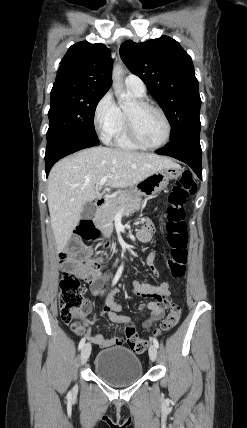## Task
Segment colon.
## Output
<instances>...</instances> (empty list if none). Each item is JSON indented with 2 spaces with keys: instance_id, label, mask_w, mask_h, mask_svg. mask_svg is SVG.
Returning a JSON list of instances; mask_svg holds the SVG:
<instances>
[{
  "instance_id": "1",
  "label": "colon",
  "mask_w": 247,
  "mask_h": 428,
  "mask_svg": "<svg viewBox=\"0 0 247 428\" xmlns=\"http://www.w3.org/2000/svg\"><path fill=\"white\" fill-rule=\"evenodd\" d=\"M197 190L196 182L190 173H184L181 178L175 183L171 193L168 196L167 208V243L170 247V258L167 265L169 275L173 279H178L183 276L188 259L187 253V234L185 229V211L184 205L187 199L194 195ZM80 243H91L92 239L97 236V230L90 221H83L77 230ZM76 246L74 243L70 250L64 251L61 254V262L66 268L62 274L60 281V313L62 320L74 326L79 323V320L85 316L86 305L84 291L80 280L76 273ZM83 267L86 273V281L93 282L98 279V261L92 257H88L83 262ZM165 301L164 298H156L155 301H150L147 306L150 307V319L148 326H156L160 323V327L155 330L157 335L163 332H168L173 329L180 320L181 306L177 301ZM137 314L143 313L145 308L144 302L140 301L137 305ZM169 309L166 315V310ZM166 316V317H165ZM165 317V318H164ZM147 326V323H143ZM139 332L132 325L126 326V343L136 353H142L147 349L148 342L138 337Z\"/></svg>"
}]
</instances>
